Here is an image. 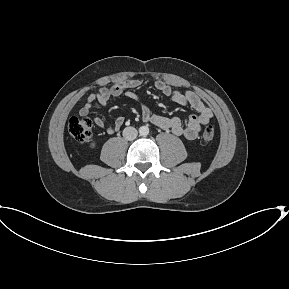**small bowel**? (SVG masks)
<instances>
[{
	"label": "small bowel",
	"instance_id": "obj_1",
	"mask_svg": "<svg viewBox=\"0 0 289 289\" xmlns=\"http://www.w3.org/2000/svg\"><path fill=\"white\" fill-rule=\"evenodd\" d=\"M142 84L143 81L140 79H121L110 87L100 88L96 93L88 96L85 105L80 109L79 113L82 117L88 116L94 103L105 106L112 97L126 96L140 104L144 121L150 122L161 129L170 130L173 134L188 140L195 139L201 128L208 124L213 116L211 109L205 105L195 92L175 90L163 81L156 82V89L171 101L182 106L191 107L196 111V114L191 115L187 123H183L178 117L154 114L141 101L140 97L133 92ZM94 122L108 134H114L125 123V119L124 117H118L113 125H108L101 118L95 117Z\"/></svg>",
	"mask_w": 289,
	"mask_h": 289
}]
</instances>
